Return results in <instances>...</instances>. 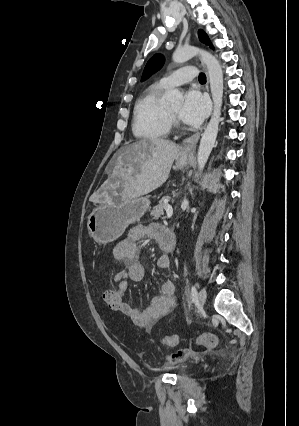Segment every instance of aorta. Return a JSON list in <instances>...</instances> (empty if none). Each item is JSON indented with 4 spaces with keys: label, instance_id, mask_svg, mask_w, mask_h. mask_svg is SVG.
Wrapping results in <instances>:
<instances>
[{
    "label": "aorta",
    "instance_id": "762f6f07",
    "mask_svg": "<svg viewBox=\"0 0 299 426\" xmlns=\"http://www.w3.org/2000/svg\"><path fill=\"white\" fill-rule=\"evenodd\" d=\"M199 56L202 63L205 64L211 89L214 109L210 121L202 134L198 153L197 163L201 172L208 160V157L214 147L221 118V107L223 99V71L217 58L211 53L199 49L195 46H184L173 53L175 63H184L189 59ZM166 100L170 103H181L183 101L182 93L178 89H172L166 94Z\"/></svg>",
    "mask_w": 299,
    "mask_h": 426
}]
</instances>
